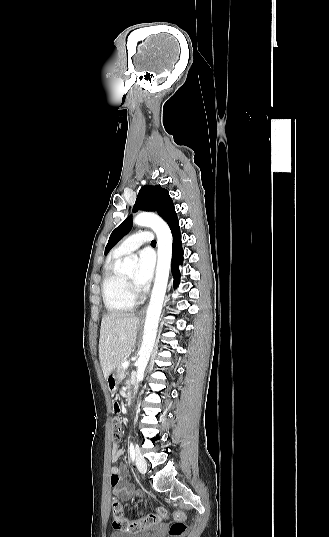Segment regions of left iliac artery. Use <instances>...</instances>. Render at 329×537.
<instances>
[{
    "label": "left iliac artery",
    "instance_id": "left-iliac-artery-1",
    "mask_svg": "<svg viewBox=\"0 0 329 537\" xmlns=\"http://www.w3.org/2000/svg\"><path fill=\"white\" fill-rule=\"evenodd\" d=\"M129 452H130L131 460L134 461L136 450H135L134 444L132 442H130Z\"/></svg>",
    "mask_w": 329,
    "mask_h": 537
}]
</instances>
